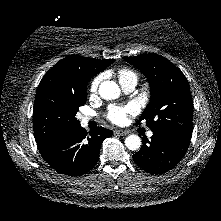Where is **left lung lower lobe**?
Listing matches in <instances>:
<instances>
[{
  "instance_id": "1",
  "label": "left lung lower lobe",
  "mask_w": 221,
  "mask_h": 221,
  "mask_svg": "<svg viewBox=\"0 0 221 221\" xmlns=\"http://www.w3.org/2000/svg\"><path fill=\"white\" fill-rule=\"evenodd\" d=\"M189 143V139L153 132L151 141L143 140V145L133 155V160L150 174H162L178 164L189 148Z\"/></svg>"
}]
</instances>
